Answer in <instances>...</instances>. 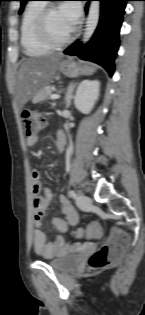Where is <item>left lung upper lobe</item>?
<instances>
[{
    "instance_id": "1",
    "label": "left lung upper lobe",
    "mask_w": 145,
    "mask_h": 315,
    "mask_svg": "<svg viewBox=\"0 0 145 315\" xmlns=\"http://www.w3.org/2000/svg\"><path fill=\"white\" fill-rule=\"evenodd\" d=\"M18 1H21V7H20V10H19V14H21L23 12V9H24V6H25L26 2L30 1V0H18Z\"/></svg>"
}]
</instances>
